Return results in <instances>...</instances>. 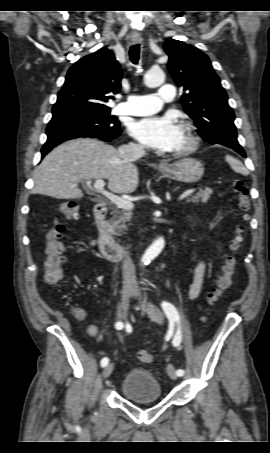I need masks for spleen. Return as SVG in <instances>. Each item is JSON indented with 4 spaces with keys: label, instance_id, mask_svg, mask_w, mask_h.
Returning a JSON list of instances; mask_svg holds the SVG:
<instances>
[{
    "label": "spleen",
    "instance_id": "spleen-1",
    "mask_svg": "<svg viewBox=\"0 0 270 453\" xmlns=\"http://www.w3.org/2000/svg\"><path fill=\"white\" fill-rule=\"evenodd\" d=\"M226 161L228 162V164L231 166V168L235 172L243 174V175L247 173V170L244 167V165L239 160L235 159L234 157L227 155Z\"/></svg>",
    "mask_w": 270,
    "mask_h": 453
}]
</instances>
